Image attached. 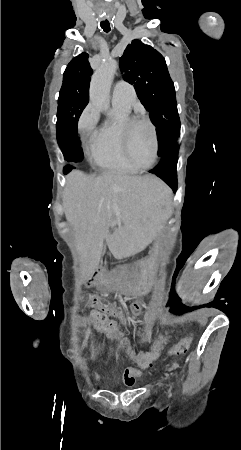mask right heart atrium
<instances>
[{"label":"right heart atrium","instance_id":"right-heart-atrium-1","mask_svg":"<svg viewBox=\"0 0 241 450\" xmlns=\"http://www.w3.org/2000/svg\"><path fill=\"white\" fill-rule=\"evenodd\" d=\"M100 122V116H83L81 118L84 130H97Z\"/></svg>","mask_w":241,"mask_h":450}]
</instances>
